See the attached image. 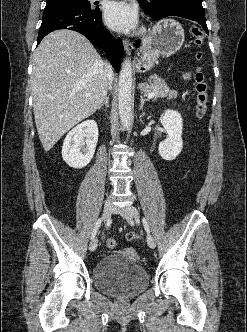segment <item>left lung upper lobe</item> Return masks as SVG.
<instances>
[{
    "instance_id": "5c2ea615",
    "label": "left lung upper lobe",
    "mask_w": 247,
    "mask_h": 332,
    "mask_svg": "<svg viewBox=\"0 0 247 332\" xmlns=\"http://www.w3.org/2000/svg\"><path fill=\"white\" fill-rule=\"evenodd\" d=\"M141 8L155 20L159 16L174 8L203 9L202 0H138Z\"/></svg>"
}]
</instances>
